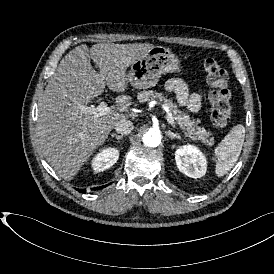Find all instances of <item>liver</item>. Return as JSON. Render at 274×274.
Instances as JSON below:
<instances>
[{
  "label": "liver",
  "mask_w": 274,
  "mask_h": 274,
  "mask_svg": "<svg viewBox=\"0 0 274 274\" xmlns=\"http://www.w3.org/2000/svg\"><path fill=\"white\" fill-rule=\"evenodd\" d=\"M150 43L81 44L61 60L38 103L37 137L43 155L66 181L77 177L122 120L132 117L129 67L144 59ZM91 60L99 68L92 70ZM105 86L121 94L110 113L96 117L81 109L101 95Z\"/></svg>",
  "instance_id": "obj_1"
}]
</instances>
